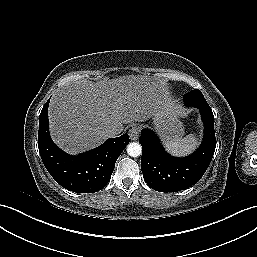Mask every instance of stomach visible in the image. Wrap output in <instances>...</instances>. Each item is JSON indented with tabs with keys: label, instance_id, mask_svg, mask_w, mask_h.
I'll use <instances>...</instances> for the list:
<instances>
[{
	"label": "stomach",
	"instance_id": "0dacf381",
	"mask_svg": "<svg viewBox=\"0 0 257 257\" xmlns=\"http://www.w3.org/2000/svg\"><path fill=\"white\" fill-rule=\"evenodd\" d=\"M153 125L164 141L179 138L184 134L183 125L175 114L162 110L153 115Z\"/></svg>",
	"mask_w": 257,
	"mask_h": 257
}]
</instances>
